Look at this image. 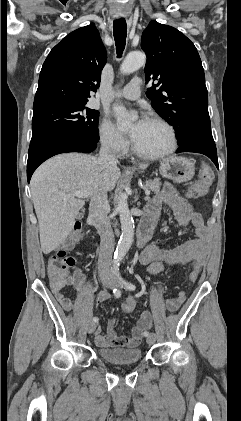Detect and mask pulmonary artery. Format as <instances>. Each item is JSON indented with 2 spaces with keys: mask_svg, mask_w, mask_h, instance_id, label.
<instances>
[{
  "mask_svg": "<svg viewBox=\"0 0 241 421\" xmlns=\"http://www.w3.org/2000/svg\"><path fill=\"white\" fill-rule=\"evenodd\" d=\"M141 80L139 78L132 79L123 89L116 93V97L135 100L140 97Z\"/></svg>",
  "mask_w": 241,
  "mask_h": 421,
  "instance_id": "1",
  "label": "pulmonary artery"
}]
</instances>
